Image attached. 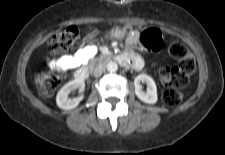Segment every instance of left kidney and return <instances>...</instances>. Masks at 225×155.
Instances as JSON below:
<instances>
[{"label":"left kidney","instance_id":"obj_1","mask_svg":"<svg viewBox=\"0 0 225 155\" xmlns=\"http://www.w3.org/2000/svg\"><path fill=\"white\" fill-rule=\"evenodd\" d=\"M141 82H145L147 84L146 93L142 90L140 85ZM134 86L135 94L141 101L148 104H155L157 102V87L152 77L146 74H140L135 78Z\"/></svg>","mask_w":225,"mask_h":155}]
</instances>
